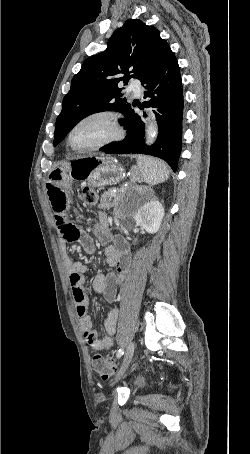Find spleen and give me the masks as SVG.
<instances>
[{
    "label": "spleen",
    "mask_w": 250,
    "mask_h": 454,
    "mask_svg": "<svg viewBox=\"0 0 250 454\" xmlns=\"http://www.w3.org/2000/svg\"><path fill=\"white\" fill-rule=\"evenodd\" d=\"M137 164L141 176L149 185L162 183L169 178L167 165L159 159L137 156Z\"/></svg>",
    "instance_id": "3e777b00"
}]
</instances>
